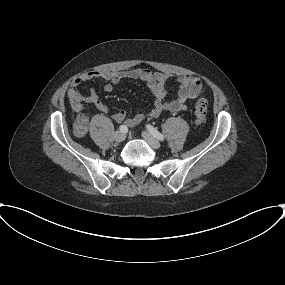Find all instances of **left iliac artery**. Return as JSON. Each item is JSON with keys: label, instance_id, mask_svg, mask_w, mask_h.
I'll list each match as a JSON object with an SVG mask.
<instances>
[{"label": "left iliac artery", "instance_id": "1", "mask_svg": "<svg viewBox=\"0 0 285 285\" xmlns=\"http://www.w3.org/2000/svg\"><path fill=\"white\" fill-rule=\"evenodd\" d=\"M147 129L155 138L161 141L164 140V136L158 130H156L153 126L147 125Z\"/></svg>", "mask_w": 285, "mask_h": 285}]
</instances>
